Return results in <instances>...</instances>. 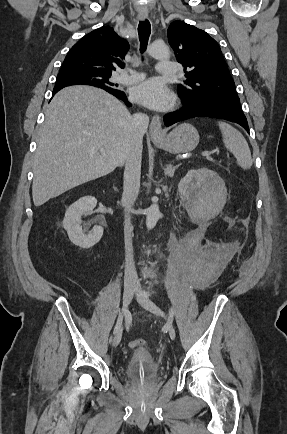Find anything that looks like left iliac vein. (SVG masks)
I'll return each instance as SVG.
<instances>
[{
	"label": "left iliac vein",
	"instance_id": "obj_1",
	"mask_svg": "<svg viewBox=\"0 0 287 434\" xmlns=\"http://www.w3.org/2000/svg\"><path fill=\"white\" fill-rule=\"evenodd\" d=\"M135 295L139 304L142 307H144L146 310L150 311L151 313L157 316L165 317L164 312L146 294L142 292V289L139 284L136 287ZM166 327L170 338L175 339L176 331L173 325L170 322H167Z\"/></svg>",
	"mask_w": 287,
	"mask_h": 434
}]
</instances>
